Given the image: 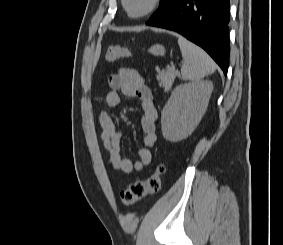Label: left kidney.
<instances>
[{"mask_svg": "<svg viewBox=\"0 0 283 245\" xmlns=\"http://www.w3.org/2000/svg\"><path fill=\"white\" fill-rule=\"evenodd\" d=\"M212 91L213 83L208 80L177 86L162 111L163 137L177 142L190 136L207 109Z\"/></svg>", "mask_w": 283, "mask_h": 245, "instance_id": "obj_1", "label": "left kidney"}]
</instances>
